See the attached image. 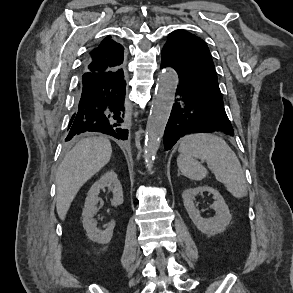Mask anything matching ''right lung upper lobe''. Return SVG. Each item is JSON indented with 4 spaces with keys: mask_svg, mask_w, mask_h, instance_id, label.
<instances>
[{
    "mask_svg": "<svg viewBox=\"0 0 293 293\" xmlns=\"http://www.w3.org/2000/svg\"><path fill=\"white\" fill-rule=\"evenodd\" d=\"M124 48L111 37L105 38L93 49L84 67L87 73H102L122 69Z\"/></svg>",
    "mask_w": 293,
    "mask_h": 293,
    "instance_id": "1",
    "label": "right lung upper lobe"
}]
</instances>
